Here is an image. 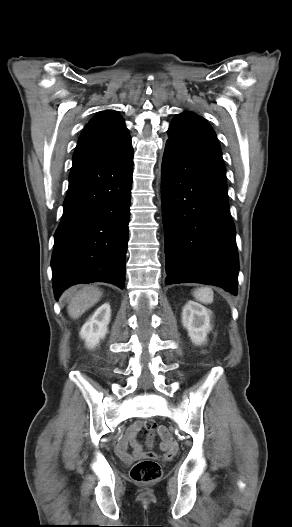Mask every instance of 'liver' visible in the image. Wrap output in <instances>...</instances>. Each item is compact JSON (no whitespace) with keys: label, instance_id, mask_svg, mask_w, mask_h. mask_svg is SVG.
Here are the masks:
<instances>
[{"label":"liver","instance_id":"obj_1","mask_svg":"<svg viewBox=\"0 0 292 527\" xmlns=\"http://www.w3.org/2000/svg\"><path fill=\"white\" fill-rule=\"evenodd\" d=\"M102 296V291L95 286H85L83 289L69 294L68 314L73 319H78L88 309L93 307Z\"/></svg>","mask_w":292,"mask_h":527}]
</instances>
